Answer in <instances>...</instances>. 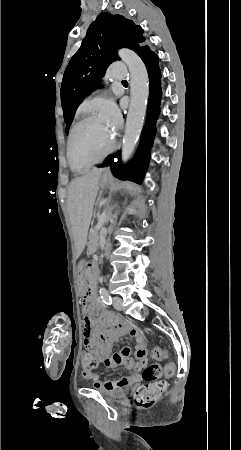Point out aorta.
Returning a JSON list of instances; mask_svg holds the SVG:
<instances>
[{"label": "aorta", "mask_w": 241, "mask_h": 450, "mask_svg": "<svg viewBox=\"0 0 241 450\" xmlns=\"http://www.w3.org/2000/svg\"><path fill=\"white\" fill-rule=\"evenodd\" d=\"M119 56L126 63L130 72L131 100L121 152L122 161L125 164L131 157L142 132L146 115L149 83L146 67L135 52L129 49H121Z\"/></svg>", "instance_id": "762f6f07"}]
</instances>
